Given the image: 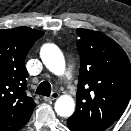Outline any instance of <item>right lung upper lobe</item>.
<instances>
[{
    "mask_svg": "<svg viewBox=\"0 0 131 131\" xmlns=\"http://www.w3.org/2000/svg\"><path fill=\"white\" fill-rule=\"evenodd\" d=\"M44 32L28 27L0 30V131H18L36 104L26 95L27 53Z\"/></svg>",
    "mask_w": 131,
    "mask_h": 131,
    "instance_id": "obj_1",
    "label": "right lung upper lobe"
}]
</instances>
